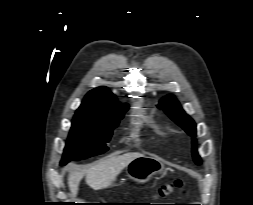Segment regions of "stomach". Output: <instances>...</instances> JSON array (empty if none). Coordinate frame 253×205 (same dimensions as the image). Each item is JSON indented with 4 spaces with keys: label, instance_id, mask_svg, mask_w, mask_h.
Here are the masks:
<instances>
[{
    "label": "stomach",
    "instance_id": "1",
    "mask_svg": "<svg viewBox=\"0 0 253 205\" xmlns=\"http://www.w3.org/2000/svg\"><path fill=\"white\" fill-rule=\"evenodd\" d=\"M163 170L164 165L159 159L139 156L132 160L126 167V176L137 183H145L153 175Z\"/></svg>",
    "mask_w": 253,
    "mask_h": 205
}]
</instances>
